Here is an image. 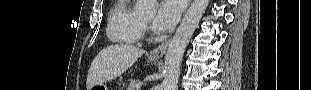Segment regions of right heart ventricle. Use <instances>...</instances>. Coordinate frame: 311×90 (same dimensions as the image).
I'll list each match as a JSON object with an SVG mask.
<instances>
[{"mask_svg":"<svg viewBox=\"0 0 311 90\" xmlns=\"http://www.w3.org/2000/svg\"><path fill=\"white\" fill-rule=\"evenodd\" d=\"M142 21L130 1L120 0L111 9L107 36L121 44H136L142 37Z\"/></svg>","mask_w":311,"mask_h":90,"instance_id":"e07e8e85","label":"right heart ventricle"}]
</instances>
